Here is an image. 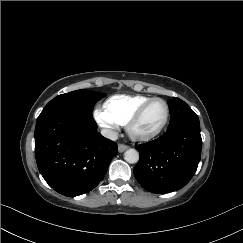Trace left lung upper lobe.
I'll list each match as a JSON object with an SVG mask.
<instances>
[{
    "instance_id": "5c2ea615",
    "label": "left lung upper lobe",
    "mask_w": 243,
    "mask_h": 243,
    "mask_svg": "<svg viewBox=\"0 0 243 243\" xmlns=\"http://www.w3.org/2000/svg\"><path fill=\"white\" fill-rule=\"evenodd\" d=\"M168 103L171 113L170 123L175 122L180 117L195 115L192 109L179 98L173 97Z\"/></svg>"
}]
</instances>
